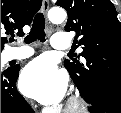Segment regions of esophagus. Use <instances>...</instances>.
<instances>
[{
    "label": "esophagus",
    "instance_id": "1",
    "mask_svg": "<svg viewBox=\"0 0 121 113\" xmlns=\"http://www.w3.org/2000/svg\"><path fill=\"white\" fill-rule=\"evenodd\" d=\"M48 9H49V0H43L42 1V12L44 15L47 14Z\"/></svg>",
    "mask_w": 121,
    "mask_h": 113
}]
</instances>
